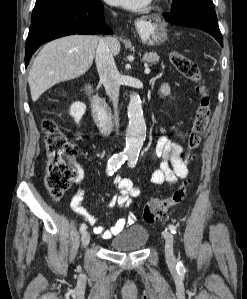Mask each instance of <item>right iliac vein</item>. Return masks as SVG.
I'll use <instances>...</instances> for the list:
<instances>
[{
    "instance_id": "right-iliac-vein-1",
    "label": "right iliac vein",
    "mask_w": 247,
    "mask_h": 299,
    "mask_svg": "<svg viewBox=\"0 0 247 299\" xmlns=\"http://www.w3.org/2000/svg\"><path fill=\"white\" fill-rule=\"evenodd\" d=\"M81 242L83 247L88 246L89 242H90V233L88 231H84L81 237Z\"/></svg>"
}]
</instances>
